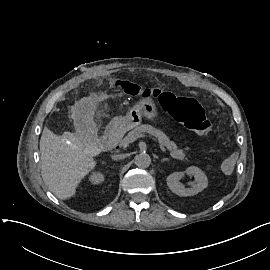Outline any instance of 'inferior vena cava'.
I'll return each mask as SVG.
<instances>
[{"instance_id": "obj_1", "label": "inferior vena cava", "mask_w": 270, "mask_h": 270, "mask_svg": "<svg viewBox=\"0 0 270 270\" xmlns=\"http://www.w3.org/2000/svg\"><path fill=\"white\" fill-rule=\"evenodd\" d=\"M127 157V154H119V155H113L112 159L113 160H120V159H124Z\"/></svg>"}]
</instances>
